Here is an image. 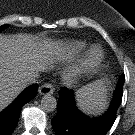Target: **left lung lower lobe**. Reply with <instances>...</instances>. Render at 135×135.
<instances>
[{"instance_id": "obj_1", "label": "left lung lower lobe", "mask_w": 135, "mask_h": 135, "mask_svg": "<svg viewBox=\"0 0 135 135\" xmlns=\"http://www.w3.org/2000/svg\"><path fill=\"white\" fill-rule=\"evenodd\" d=\"M124 75L117 84L109 110L101 117L90 118L75 105L73 92L63 88L59 91L57 114L51 120L56 135H105L112 127L122 101Z\"/></svg>"}]
</instances>
